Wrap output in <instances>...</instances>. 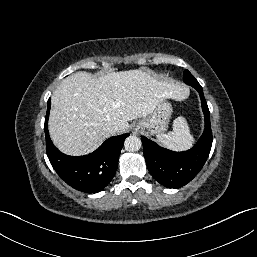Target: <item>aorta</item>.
I'll return each mask as SVG.
<instances>
[{"label":"aorta","mask_w":257,"mask_h":257,"mask_svg":"<svg viewBox=\"0 0 257 257\" xmlns=\"http://www.w3.org/2000/svg\"><path fill=\"white\" fill-rule=\"evenodd\" d=\"M142 146L141 139L137 136H129L125 139L124 147L127 151H138Z\"/></svg>","instance_id":"762f6f07"}]
</instances>
